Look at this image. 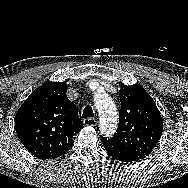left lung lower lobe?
Returning a JSON list of instances; mask_svg holds the SVG:
<instances>
[{
  "mask_svg": "<svg viewBox=\"0 0 188 188\" xmlns=\"http://www.w3.org/2000/svg\"><path fill=\"white\" fill-rule=\"evenodd\" d=\"M101 141L103 143L105 150L107 151L109 155L112 156V158L119 160V161H125V162L139 160L137 156L119 148L118 146L111 143L108 139L102 137Z\"/></svg>",
  "mask_w": 188,
  "mask_h": 188,
  "instance_id": "obj_1",
  "label": "left lung lower lobe"
}]
</instances>
